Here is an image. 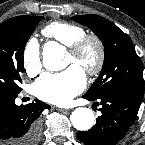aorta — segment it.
<instances>
[{
	"mask_svg": "<svg viewBox=\"0 0 145 145\" xmlns=\"http://www.w3.org/2000/svg\"><path fill=\"white\" fill-rule=\"evenodd\" d=\"M66 49L57 42L50 41L44 45L42 58L43 65L47 70L58 71L66 67L64 56ZM71 123L74 128L79 131L89 130L95 122L93 112L86 107L75 109L70 116Z\"/></svg>",
	"mask_w": 145,
	"mask_h": 145,
	"instance_id": "762f6f07",
	"label": "aorta"
}]
</instances>
